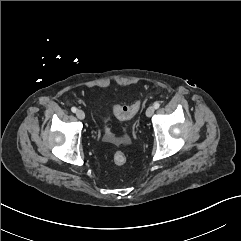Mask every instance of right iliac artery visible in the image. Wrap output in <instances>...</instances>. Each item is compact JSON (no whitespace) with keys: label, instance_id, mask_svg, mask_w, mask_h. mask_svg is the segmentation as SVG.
Masks as SVG:
<instances>
[{"label":"right iliac artery","instance_id":"82829eb1","mask_svg":"<svg viewBox=\"0 0 241 241\" xmlns=\"http://www.w3.org/2000/svg\"><path fill=\"white\" fill-rule=\"evenodd\" d=\"M76 110H77L76 107H72V108H71V111H72L73 113H75Z\"/></svg>","mask_w":241,"mask_h":241}]
</instances>
